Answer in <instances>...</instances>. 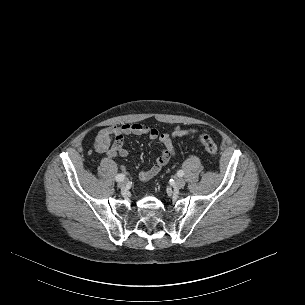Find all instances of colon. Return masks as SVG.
<instances>
[{"mask_svg":"<svg viewBox=\"0 0 305 305\" xmlns=\"http://www.w3.org/2000/svg\"><path fill=\"white\" fill-rule=\"evenodd\" d=\"M200 142L204 145L207 152L214 156L217 153V145L208 134H201L199 136Z\"/></svg>","mask_w":305,"mask_h":305,"instance_id":"obj_1","label":"colon"}]
</instances>
